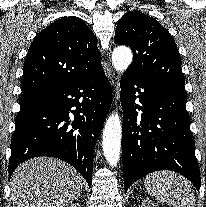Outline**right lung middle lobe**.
Segmentation results:
<instances>
[{
	"mask_svg": "<svg viewBox=\"0 0 206 207\" xmlns=\"http://www.w3.org/2000/svg\"><path fill=\"white\" fill-rule=\"evenodd\" d=\"M32 102L31 98L30 97H27V96H22L20 98V108L30 104Z\"/></svg>",
	"mask_w": 206,
	"mask_h": 207,
	"instance_id": "dd1d6c3e",
	"label": "right lung middle lobe"
}]
</instances>
